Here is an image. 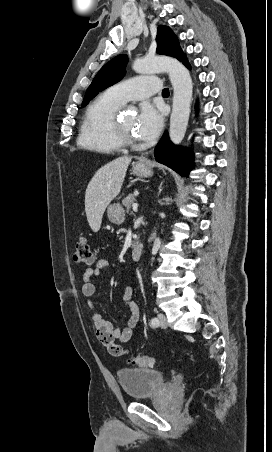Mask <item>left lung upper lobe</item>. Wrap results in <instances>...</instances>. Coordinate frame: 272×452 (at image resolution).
<instances>
[{"label":"left lung upper lobe","mask_w":272,"mask_h":452,"mask_svg":"<svg viewBox=\"0 0 272 452\" xmlns=\"http://www.w3.org/2000/svg\"><path fill=\"white\" fill-rule=\"evenodd\" d=\"M158 54L172 56L180 60L184 54L178 39L167 26L160 25L156 36ZM128 62L126 55H118L105 64L97 73L84 96L82 107L87 105L100 91L114 85L125 75Z\"/></svg>","instance_id":"obj_1"}]
</instances>
